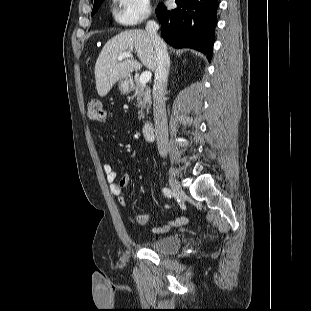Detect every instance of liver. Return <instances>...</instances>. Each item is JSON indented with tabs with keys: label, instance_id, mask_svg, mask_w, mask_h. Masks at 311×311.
Returning a JSON list of instances; mask_svg holds the SVG:
<instances>
[{
	"label": "liver",
	"instance_id": "6515ba94",
	"mask_svg": "<svg viewBox=\"0 0 311 311\" xmlns=\"http://www.w3.org/2000/svg\"><path fill=\"white\" fill-rule=\"evenodd\" d=\"M132 51L137 52L141 63L134 59H117L121 53ZM156 58L155 47L147 31L129 30L116 35L104 45L95 64L98 95L106 96L117 81L130 76L142 65L155 71Z\"/></svg>",
	"mask_w": 311,
	"mask_h": 311
}]
</instances>
